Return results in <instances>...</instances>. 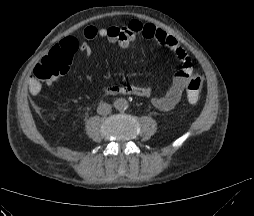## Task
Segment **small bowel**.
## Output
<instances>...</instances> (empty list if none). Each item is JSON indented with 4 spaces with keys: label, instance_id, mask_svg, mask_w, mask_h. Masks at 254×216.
<instances>
[{
    "label": "small bowel",
    "instance_id": "obj_1",
    "mask_svg": "<svg viewBox=\"0 0 254 216\" xmlns=\"http://www.w3.org/2000/svg\"><path fill=\"white\" fill-rule=\"evenodd\" d=\"M137 35H141L146 39L155 40L159 44L167 47L172 52L174 60L181 65V69L176 72L171 86L164 94H155L149 86L133 84L103 85L101 89L109 95H135L148 99L158 110L168 112L174 109L180 102L182 93L192 72L190 56L173 36L152 24H142L137 20H133L125 26L96 27L89 25L84 29L85 39L94 40L96 38H103L111 43L117 44L122 49H128ZM52 49L65 51L70 56L78 50L85 54L91 52L90 46L87 43H80L74 37H67L61 40ZM42 85L37 81L33 73V77L28 82L30 92L32 94L39 93Z\"/></svg>",
    "mask_w": 254,
    "mask_h": 216
}]
</instances>
